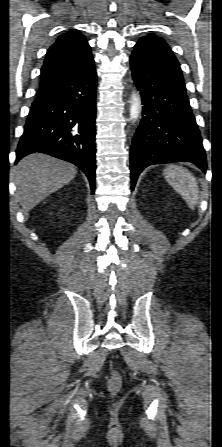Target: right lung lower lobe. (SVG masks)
I'll return each instance as SVG.
<instances>
[{"label": "right lung lower lobe", "mask_w": 222, "mask_h": 447, "mask_svg": "<svg viewBox=\"0 0 222 447\" xmlns=\"http://www.w3.org/2000/svg\"><path fill=\"white\" fill-rule=\"evenodd\" d=\"M97 75L92 58L74 76L32 103L16 151V163L41 152L78 166L95 190Z\"/></svg>", "instance_id": "obj_1"}]
</instances>
